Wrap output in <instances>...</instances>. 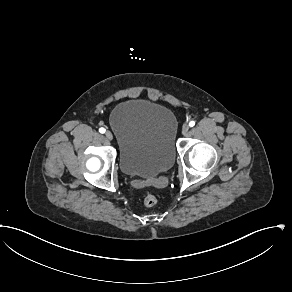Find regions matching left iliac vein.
Listing matches in <instances>:
<instances>
[{"label":"left iliac vein","mask_w":292,"mask_h":292,"mask_svg":"<svg viewBox=\"0 0 292 292\" xmlns=\"http://www.w3.org/2000/svg\"><path fill=\"white\" fill-rule=\"evenodd\" d=\"M189 125L185 124L182 126V134L183 135H187V133L189 132Z\"/></svg>","instance_id":"4c4485c4"}]
</instances>
